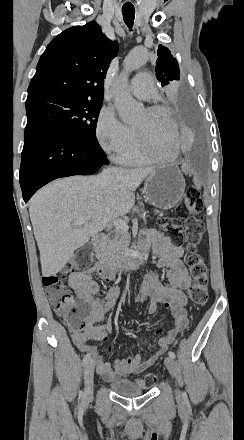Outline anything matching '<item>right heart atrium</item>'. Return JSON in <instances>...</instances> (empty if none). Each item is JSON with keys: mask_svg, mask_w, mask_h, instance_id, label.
<instances>
[{"mask_svg": "<svg viewBox=\"0 0 244 440\" xmlns=\"http://www.w3.org/2000/svg\"><path fill=\"white\" fill-rule=\"evenodd\" d=\"M95 133L99 144L109 155L130 151L138 141L134 128L124 124L109 106L101 109Z\"/></svg>", "mask_w": 244, "mask_h": 440, "instance_id": "d8ad5b80", "label": "right heart atrium"}]
</instances>
